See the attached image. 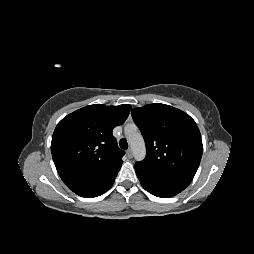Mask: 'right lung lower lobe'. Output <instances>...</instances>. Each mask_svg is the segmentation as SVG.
Here are the masks:
<instances>
[{"instance_id": "1", "label": "right lung lower lobe", "mask_w": 254, "mask_h": 254, "mask_svg": "<svg viewBox=\"0 0 254 254\" xmlns=\"http://www.w3.org/2000/svg\"><path fill=\"white\" fill-rule=\"evenodd\" d=\"M120 168L106 173L71 180L65 184L79 196L92 198L104 194L111 188Z\"/></svg>"}]
</instances>
